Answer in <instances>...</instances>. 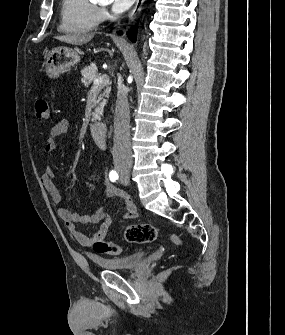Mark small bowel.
Masks as SVG:
<instances>
[{
	"mask_svg": "<svg viewBox=\"0 0 285 335\" xmlns=\"http://www.w3.org/2000/svg\"><path fill=\"white\" fill-rule=\"evenodd\" d=\"M70 123L66 119H62L55 123L49 130V134L44 146L47 153H52L56 149L55 139L69 132ZM54 169L52 166H47L40 174V180L52 202L59 206L58 215L65 222L67 229L73 238L82 246L91 247L95 240L105 238L112 223V217L103 207H97L90 214L74 213L67 208L61 207V194L53 182ZM105 193L103 200L110 198L121 199L124 203L125 212L123 218L134 219L137 217V209L130 196L116 188L108 180V171L105 170ZM99 224V229L95 234H85L78 229L79 224Z\"/></svg>",
	"mask_w": 285,
	"mask_h": 335,
	"instance_id": "obj_1",
	"label": "small bowel"
}]
</instances>
